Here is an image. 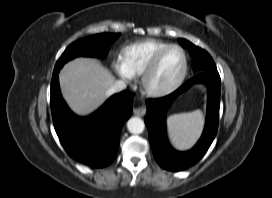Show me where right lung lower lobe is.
<instances>
[{
	"mask_svg": "<svg viewBox=\"0 0 272 198\" xmlns=\"http://www.w3.org/2000/svg\"><path fill=\"white\" fill-rule=\"evenodd\" d=\"M132 102V93L123 91L92 115L78 117L63 100L58 72H53L50 104L56 133L66 152L86 165L102 168L115 159L121 129L132 113Z\"/></svg>",
	"mask_w": 272,
	"mask_h": 198,
	"instance_id": "right-lung-lower-lobe-1",
	"label": "right lung lower lobe"
}]
</instances>
